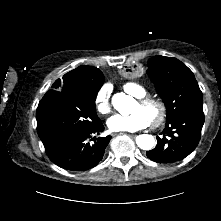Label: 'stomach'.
Masks as SVG:
<instances>
[{
    "label": "stomach",
    "instance_id": "0dacf381",
    "mask_svg": "<svg viewBox=\"0 0 221 221\" xmlns=\"http://www.w3.org/2000/svg\"><path fill=\"white\" fill-rule=\"evenodd\" d=\"M122 73L126 79H140L144 75V68L140 64L127 63L124 65Z\"/></svg>",
    "mask_w": 221,
    "mask_h": 221
}]
</instances>
